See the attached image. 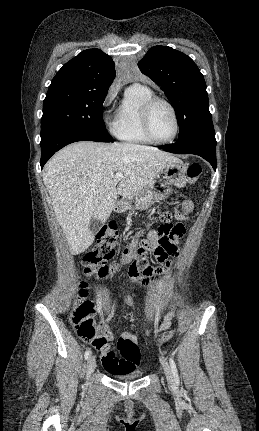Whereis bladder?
<instances>
[{
  "instance_id": "31cf9c89",
  "label": "bladder",
  "mask_w": 259,
  "mask_h": 431,
  "mask_svg": "<svg viewBox=\"0 0 259 431\" xmlns=\"http://www.w3.org/2000/svg\"><path fill=\"white\" fill-rule=\"evenodd\" d=\"M111 377L118 381L129 382L139 379L143 376L140 371H126V372H113L110 373Z\"/></svg>"
}]
</instances>
